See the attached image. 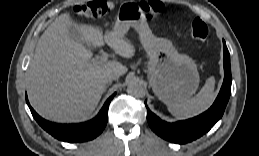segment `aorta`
I'll return each instance as SVG.
<instances>
[{
	"instance_id": "aorta-1",
	"label": "aorta",
	"mask_w": 259,
	"mask_h": 156,
	"mask_svg": "<svg viewBox=\"0 0 259 156\" xmlns=\"http://www.w3.org/2000/svg\"><path fill=\"white\" fill-rule=\"evenodd\" d=\"M127 93L134 98H143L145 89L140 82L132 81L128 84Z\"/></svg>"
}]
</instances>
